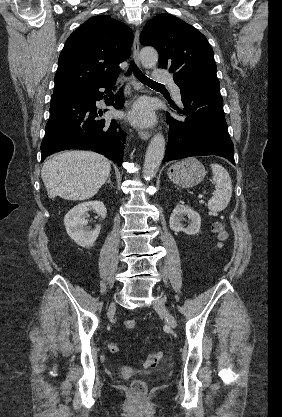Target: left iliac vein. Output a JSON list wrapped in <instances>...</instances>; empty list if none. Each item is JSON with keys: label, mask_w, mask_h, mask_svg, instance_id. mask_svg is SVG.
I'll return each mask as SVG.
<instances>
[{"label": "left iliac vein", "mask_w": 282, "mask_h": 417, "mask_svg": "<svg viewBox=\"0 0 282 417\" xmlns=\"http://www.w3.org/2000/svg\"><path fill=\"white\" fill-rule=\"evenodd\" d=\"M154 309L160 313L163 317L167 325L171 328H175L177 326L176 319L174 316L167 310L165 303L162 299H157L153 302Z\"/></svg>", "instance_id": "1"}]
</instances>
